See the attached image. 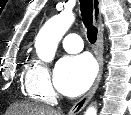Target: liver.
Listing matches in <instances>:
<instances>
[{
  "mask_svg": "<svg viewBox=\"0 0 131 115\" xmlns=\"http://www.w3.org/2000/svg\"><path fill=\"white\" fill-rule=\"evenodd\" d=\"M8 115H60V112L49 107L35 104H14L7 112Z\"/></svg>",
  "mask_w": 131,
  "mask_h": 115,
  "instance_id": "liver-1",
  "label": "liver"
}]
</instances>
